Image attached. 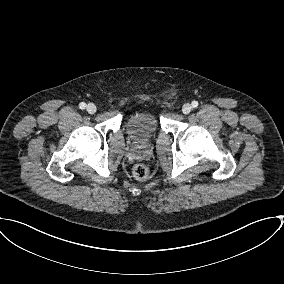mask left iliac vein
<instances>
[{
	"mask_svg": "<svg viewBox=\"0 0 284 284\" xmlns=\"http://www.w3.org/2000/svg\"><path fill=\"white\" fill-rule=\"evenodd\" d=\"M191 110H192V106L189 103L184 104L182 107V112L184 114H189Z\"/></svg>",
	"mask_w": 284,
	"mask_h": 284,
	"instance_id": "left-iliac-vein-1",
	"label": "left iliac vein"
}]
</instances>
